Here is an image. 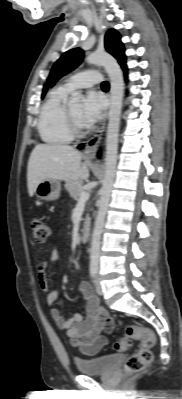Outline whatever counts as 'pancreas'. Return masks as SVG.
I'll use <instances>...</instances> for the list:
<instances>
[{"mask_svg":"<svg viewBox=\"0 0 182 399\" xmlns=\"http://www.w3.org/2000/svg\"><path fill=\"white\" fill-rule=\"evenodd\" d=\"M65 188L74 200H78L81 192L84 191L83 182L81 180L68 181L65 183ZM90 222L88 215L85 218L84 227H87Z\"/></svg>","mask_w":182,"mask_h":399,"instance_id":"cf45deb5","label":"pancreas"}]
</instances>
